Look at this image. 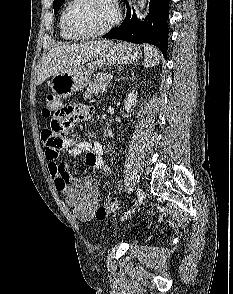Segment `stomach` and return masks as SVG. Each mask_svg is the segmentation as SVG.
I'll use <instances>...</instances> for the list:
<instances>
[{
  "label": "stomach",
  "mask_w": 233,
  "mask_h": 294,
  "mask_svg": "<svg viewBox=\"0 0 233 294\" xmlns=\"http://www.w3.org/2000/svg\"><path fill=\"white\" fill-rule=\"evenodd\" d=\"M142 57V51L135 45L117 42L109 47L97 59H92L86 66L80 65L53 76L50 86L60 98H69L82 90L90 81L98 67L104 65L132 64Z\"/></svg>",
  "instance_id": "stomach-1"
}]
</instances>
